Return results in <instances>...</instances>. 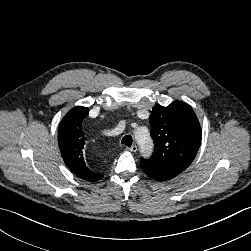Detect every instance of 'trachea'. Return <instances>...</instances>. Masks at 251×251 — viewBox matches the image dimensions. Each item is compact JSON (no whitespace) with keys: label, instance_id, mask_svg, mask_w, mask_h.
<instances>
[{"label":"trachea","instance_id":"1","mask_svg":"<svg viewBox=\"0 0 251 251\" xmlns=\"http://www.w3.org/2000/svg\"><path fill=\"white\" fill-rule=\"evenodd\" d=\"M132 141H133L132 137L130 135H126L122 138L121 144L131 147Z\"/></svg>","mask_w":251,"mask_h":251}]
</instances>
